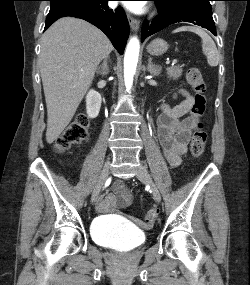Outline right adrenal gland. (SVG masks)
I'll use <instances>...</instances> for the list:
<instances>
[{"label": "right adrenal gland", "instance_id": "1", "mask_svg": "<svg viewBox=\"0 0 250 285\" xmlns=\"http://www.w3.org/2000/svg\"><path fill=\"white\" fill-rule=\"evenodd\" d=\"M110 57L107 56L103 63L97 67V72L100 73L101 75H107L109 73V66H108V61Z\"/></svg>", "mask_w": 250, "mask_h": 285}]
</instances>
